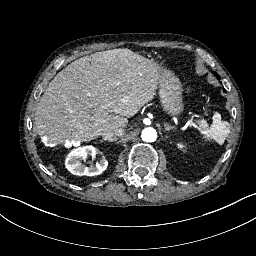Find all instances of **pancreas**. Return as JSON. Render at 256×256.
Segmentation results:
<instances>
[{"label": "pancreas", "mask_w": 256, "mask_h": 256, "mask_svg": "<svg viewBox=\"0 0 256 256\" xmlns=\"http://www.w3.org/2000/svg\"><path fill=\"white\" fill-rule=\"evenodd\" d=\"M198 124H199L201 129H205L208 126V124L205 120H199Z\"/></svg>", "instance_id": "1"}]
</instances>
